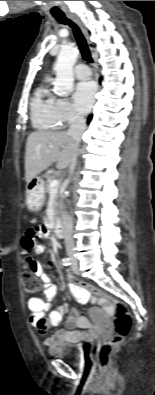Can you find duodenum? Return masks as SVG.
Returning <instances> with one entry per match:
<instances>
[{"mask_svg": "<svg viewBox=\"0 0 155 395\" xmlns=\"http://www.w3.org/2000/svg\"><path fill=\"white\" fill-rule=\"evenodd\" d=\"M54 231L57 236L63 237L64 236V227L62 220L60 218H56L54 221Z\"/></svg>", "mask_w": 155, "mask_h": 395, "instance_id": "duodenum-1", "label": "duodenum"}]
</instances>
